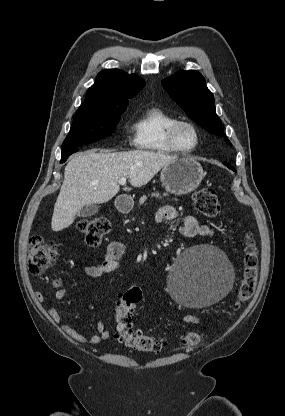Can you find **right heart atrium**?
I'll list each match as a JSON object with an SVG mask.
<instances>
[{
  "mask_svg": "<svg viewBox=\"0 0 285 416\" xmlns=\"http://www.w3.org/2000/svg\"><path fill=\"white\" fill-rule=\"evenodd\" d=\"M129 142H130L131 144H135V137L131 135V136L129 137Z\"/></svg>",
  "mask_w": 285,
  "mask_h": 416,
  "instance_id": "d8ad5b80",
  "label": "right heart atrium"
}]
</instances>
